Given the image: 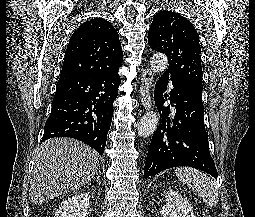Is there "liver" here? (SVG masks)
Wrapping results in <instances>:
<instances>
[{"instance_id": "liver-1", "label": "liver", "mask_w": 255, "mask_h": 217, "mask_svg": "<svg viewBox=\"0 0 255 217\" xmlns=\"http://www.w3.org/2000/svg\"><path fill=\"white\" fill-rule=\"evenodd\" d=\"M31 202L40 204L88 183L98 169L95 150L72 138L43 142L34 155Z\"/></svg>"}]
</instances>
